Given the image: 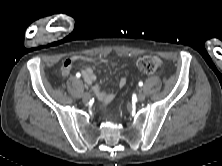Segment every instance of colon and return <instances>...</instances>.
<instances>
[{"label": "colon", "mask_w": 222, "mask_h": 166, "mask_svg": "<svg viewBox=\"0 0 222 166\" xmlns=\"http://www.w3.org/2000/svg\"><path fill=\"white\" fill-rule=\"evenodd\" d=\"M137 68L145 74H153L161 68V61L154 56H142L137 60Z\"/></svg>", "instance_id": "1"}]
</instances>
